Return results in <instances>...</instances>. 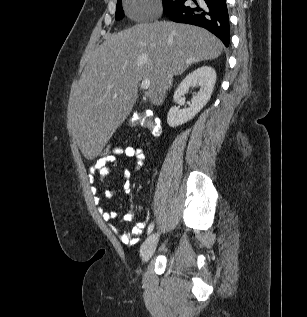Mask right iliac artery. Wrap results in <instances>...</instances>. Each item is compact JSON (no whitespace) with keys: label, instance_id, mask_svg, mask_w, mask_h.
<instances>
[{"label":"right iliac artery","instance_id":"1","mask_svg":"<svg viewBox=\"0 0 307 317\" xmlns=\"http://www.w3.org/2000/svg\"><path fill=\"white\" fill-rule=\"evenodd\" d=\"M153 229H154V224L151 223L148 227L147 234L149 235L153 231Z\"/></svg>","mask_w":307,"mask_h":317}]
</instances>
